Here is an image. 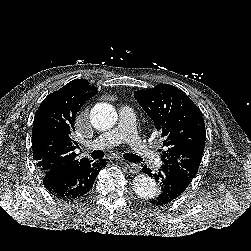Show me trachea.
<instances>
[{
    "label": "trachea",
    "instance_id": "obj_1",
    "mask_svg": "<svg viewBox=\"0 0 251 251\" xmlns=\"http://www.w3.org/2000/svg\"><path fill=\"white\" fill-rule=\"evenodd\" d=\"M89 154L92 156V158H102L105 155L104 151H102V150H95ZM123 158L125 160L133 161V162H138L141 160L137 155L130 154V153H124Z\"/></svg>",
    "mask_w": 251,
    "mask_h": 251
}]
</instances>
